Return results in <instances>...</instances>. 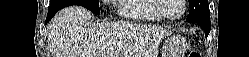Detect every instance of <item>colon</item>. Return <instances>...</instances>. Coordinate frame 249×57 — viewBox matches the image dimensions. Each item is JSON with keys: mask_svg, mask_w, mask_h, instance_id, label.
<instances>
[{"mask_svg": "<svg viewBox=\"0 0 249 57\" xmlns=\"http://www.w3.org/2000/svg\"><path fill=\"white\" fill-rule=\"evenodd\" d=\"M189 57H200V54L197 51H192Z\"/></svg>", "mask_w": 249, "mask_h": 57, "instance_id": "obj_1", "label": "colon"}]
</instances>
